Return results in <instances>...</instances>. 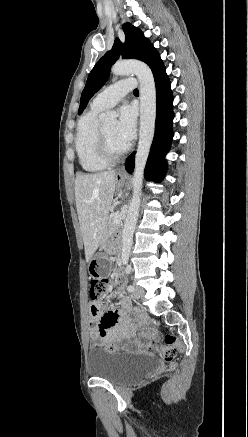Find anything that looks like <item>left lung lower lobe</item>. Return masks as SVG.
I'll return each mask as SVG.
<instances>
[{
	"mask_svg": "<svg viewBox=\"0 0 248 437\" xmlns=\"http://www.w3.org/2000/svg\"><path fill=\"white\" fill-rule=\"evenodd\" d=\"M153 75L156 85L157 115L155 136L145 168V177L147 180L160 182L166 173L167 163L165 156L169 151L173 138V96L165 67L163 66ZM134 157L135 153L127 158L126 170L129 173H132L134 169Z\"/></svg>",
	"mask_w": 248,
	"mask_h": 437,
	"instance_id": "obj_1",
	"label": "left lung lower lobe"
}]
</instances>
